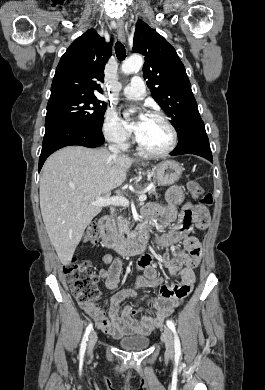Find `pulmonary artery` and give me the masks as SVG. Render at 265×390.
I'll use <instances>...</instances> for the list:
<instances>
[{
	"label": "pulmonary artery",
	"instance_id": "pulmonary-artery-1",
	"mask_svg": "<svg viewBox=\"0 0 265 390\" xmlns=\"http://www.w3.org/2000/svg\"><path fill=\"white\" fill-rule=\"evenodd\" d=\"M146 87L140 76H133L130 83L123 88V94L128 99H140L145 95Z\"/></svg>",
	"mask_w": 265,
	"mask_h": 390
}]
</instances>
